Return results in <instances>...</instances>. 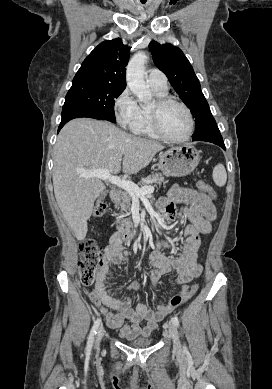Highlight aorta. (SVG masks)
<instances>
[{
    "label": "aorta",
    "mask_w": 272,
    "mask_h": 389,
    "mask_svg": "<svg viewBox=\"0 0 272 389\" xmlns=\"http://www.w3.org/2000/svg\"><path fill=\"white\" fill-rule=\"evenodd\" d=\"M146 61L147 56L144 52L135 53L127 65L126 80L138 101L143 104H150L152 103V95L144 79Z\"/></svg>",
    "instance_id": "1"
}]
</instances>
